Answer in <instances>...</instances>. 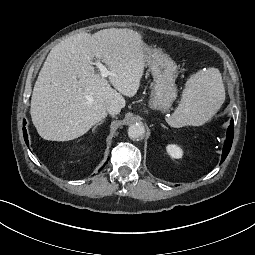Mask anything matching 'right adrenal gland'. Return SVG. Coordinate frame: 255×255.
Listing matches in <instances>:
<instances>
[{
    "label": "right adrenal gland",
    "mask_w": 255,
    "mask_h": 255,
    "mask_svg": "<svg viewBox=\"0 0 255 255\" xmlns=\"http://www.w3.org/2000/svg\"><path fill=\"white\" fill-rule=\"evenodd\" d=\"M105 120H101L98 124H96L95 126H94V128H93V132L95 131V129L98 127V126H100L103 122H104Z\"/></svg>",
    "instance_id": "2a0ac1e0"
}]
</instances>
